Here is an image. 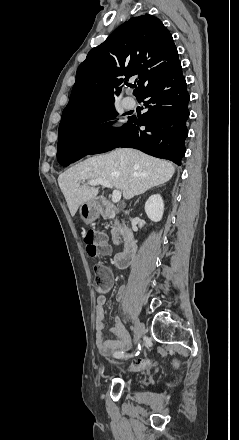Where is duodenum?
<instances>
[{"mask_svg": "<svg viewBox=\"0 0 239 440\" xmlns=\"http://www.w3.org/2000/svg\"><path fill=\"white\" fill-rule=\"evenodd\" d=\"M98 206L100 212L105 215H112L121 212L130 214L129 210L119 207L105 198H100L98 200ZM123 241V251L116 254L113 259L114 265L121 269L126 268L131 263L137 250L136 239L134 238L132 230L128 227L123 230Z\"/></svg>", "mask_w": 239, "mask_h": 440, "instance_id": "1", "label": "duodenum"}]
</instances>
